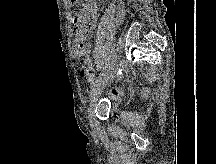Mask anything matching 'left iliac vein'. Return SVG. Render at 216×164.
<instances>
[{"label":"left iliac vein","instance_id":"4c4485c4","mask_svg":"<svg viewBox=\"0 0 216 164\" xmlns=\"http://www.w3.org/2000/svg\"><path fill=\"white\" fill-rule=\"evenodd\" d=\"M118 68V64L114 63L109 70L106 72V74L102 77L101 81L97 85V88L93 91L91 97H90V103L88 107V120L92 123L93 115H94V109L96 107V103L100 97V94L104 90V88L107 86V84L110 82V80L114 77L116 70Z\"/></svg>","mask_w":216,"mask_h":164}]
</instances>
